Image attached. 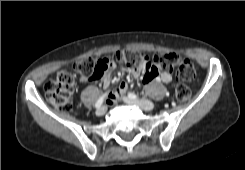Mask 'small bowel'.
<instances>
[{
	"label": "small bowel",
	"mask_w": 245,
	"mask_h": 170,
	"mask_svg": "<svg viewBox=\"0 0 245 170\" xmlns=\"http://www.w3.org/2000/svg\"><path fill=\"white\" fill-rule=\"evenodd\" d=\"M125 71L121 70L119 72V76L124 75ZM139 73H134V76H138ZM104 86H108L112 82V77L110 73H105L102 77ZM152 80V74L149 72H146L143 79H142V84L147 85L150 81ZM160 80L164 84H169L172 80L171 72L169 69H163L160 73ZM129 87V82H123L121 84V89L125 91Z\"/></svg>",
	"instance_id": "1"
}]
</instances>
